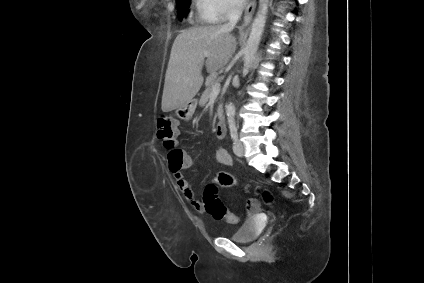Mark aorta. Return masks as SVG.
<instances>
[{
  "label": "aorta",
  "instance_id": "1",
  "mask_svg": "<svg viewBox=\"0 0 424 283\" xmlns=\"http://www.w3.org/2000/svg\"><path fill=\"white\" fill-rule=\"evenodd\" d=\"M269 7V0H259V7L256 17L253 21L249 38L244 48L243 56V71H248L252 61L255 59V54L258 50V46L261 40V36L264 32L266 23L267 13ZM227 122L230 127L235 126V106L233 103L226 105Z\"/></svg>",
  "mask_w": 424,
  "mask_h": 283
}]
</instances>
